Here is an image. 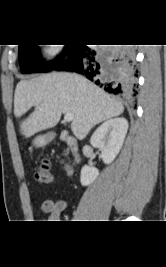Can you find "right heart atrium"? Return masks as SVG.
<instances>
[{
  "label": "right heart atrium",
  "mask_w": 166,
  "mask_h": 267,
  "mask_svg": "<svg viewBox=\"0 0 166 267\" xmlns=\"http://www.w3.org/2000/svg\"><path fill=\"white\" fill-rule=\"evenodd\" d=\"M63 51V47L60 45L49 44L45 45L43 53L48 59L57 58Z\"/></svg>",
  "instance_id": "obj_1"
}]
</instances>
